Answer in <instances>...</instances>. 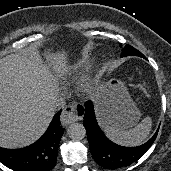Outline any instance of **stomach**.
<instances>
[{
  "instance_id": "0dacf381",
  "label": "stomach",
  "mask_w": 171,
  "mask_h": 171,
  "mask_svg": "<svg viewBox=\"0 0 171 171\" xmlns=\"http://www.w3.org/2000/svg\"><path fill=\"white\" fill-rule=\"evenodd\" d=\"M100 101L102 124L122 130L133 127L140 119L141 113L134 104L125 85L117 79H111L102 89Z\"/></svg>"
}]
</instances>
